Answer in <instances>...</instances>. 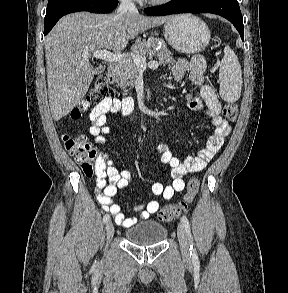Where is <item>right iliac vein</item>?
I'll return each mask as SVG.
<instances>
[{"label":"right iliac vein","instance_id":"63e3f726","mask_svg":"<svg viewBox=\"0 0 288 293\" xmlns=\"http://www.w3.org/2000/svg\"><path fill=\"white\" fill-rule=\"evenodd\" d=\"M114 235V225L111 221H108L106 224V237H107V243L110 242Z\"/></svg>","mask_w":288,"mask_h":293}]
</instances>
